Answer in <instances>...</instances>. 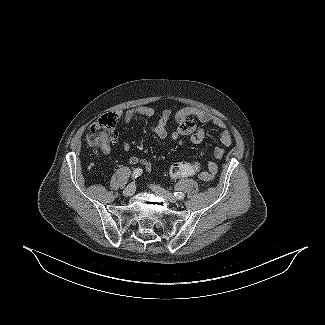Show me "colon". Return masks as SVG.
Returning a JSON list of instances; mask_svg holds the SVG:
<instances>
[{
    "mask_svg": "<svg viewBox=\"0 0 325 325\" xmlns=\"http://www.w3.org/2000/svg\"><path fill=\"white\" fill-rule=\"evenodd\" d=\"M116 115L113 113L103 114L97 122L91 125L87 134L89 146L105 149L116 138ZM199 165L194 162L180 161L169 167L172 178H181L194 175L199 170Z\"/></svg>",
    "mask_w": 325,
    "mask_h": 325,
    "instance_id": "1",
    "label": "colon"
}]
</instances>
